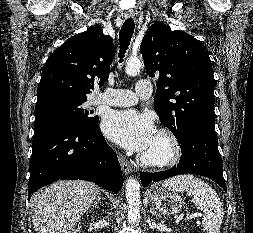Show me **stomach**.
I'll return each mask as SVG.
<instances>
[{
    "label": "stomach",
    "instance_id": "obj_1",
    "mask_svg": "<svg viewBox=\"0 0 253 233\" xmlns=\"http://www.w3.org/2000/svg\"><path fill=\"white\" fill-rule=\"evenodd\" d=\"M152 203L158 212L164 215L179 213L184 204L182 198L175 191L163 186L153 190Z\"/></svg>",
    "mask_w": 253,
    "mask_h": 233
}]
</instances>
